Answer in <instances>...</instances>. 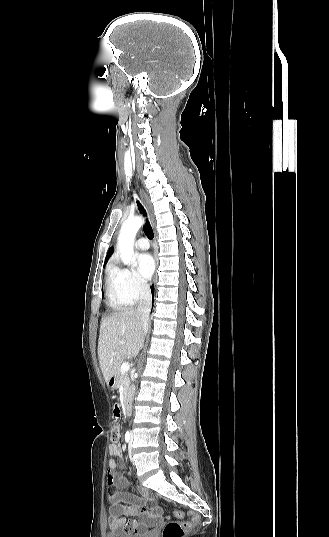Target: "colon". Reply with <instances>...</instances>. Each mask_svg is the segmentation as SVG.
<instances>
[{
  "label": "colon",
  "mask_w": 329,
  "mask_h": 537,
  "mask_svg": "<svg viewBox=\"0 0 329 537\" xmlns=\"http://www.w3.org/2000/svg\"><path fill=\"white\" fill-rule=\"evenodd\" d=\"M115 418V417H114ZM121 437V428L115 423L111 429V440L114 442L119 441ZM108 482V481H107ZM174 516L177 520L169 521L162 533V537H184L187 530L194 524L186 521H182L183 512L177 510L174 512ZM191 518L198 520L201 518L202 513L200 510L195 509L190 513Z\"/></svg>",
  "instance_id": "obj_1"
}]
</instances>
